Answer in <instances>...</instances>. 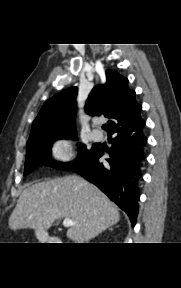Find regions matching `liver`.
Listing matches in <instances>:
<instances>
[{
	"label": "liver",
	"instance_id": "1",
	"mask_svg": "<svg viewBox=\"0 0 181 288\" xmlns=\"http://www.w3.org/2000/svg\"><path fill=\"white\" fill-rule=\"evenodd\" d=\"M75 225L67 237L77 243L89 241L120 220L119 208L93 184L70 175L27 187L20 195L8 224L12 230L31 228L47 235L56 219Z\"/></svg>",
	"mask_w": 181,
	"mask_h": 288
}]
</instances>
